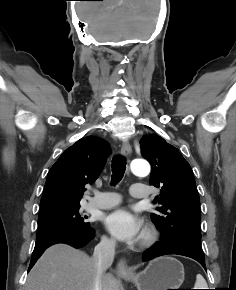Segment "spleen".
I'll return each mask as SVG.
<instances>
[{"label": "spleen", "mask_w": 236, "mask_h": 290, "mask_svg": "<svg viewBox=\"0 0 236 290\" xmlns=\"http://www.w3.org/2000/svg\"><path fill=\"white\" fill-rule=\"evenodd\" d=\"M194 287L195 289H207V283L201 274H197Z\"/></svg>", "instance_id": "obj_1"}]
</instances>
